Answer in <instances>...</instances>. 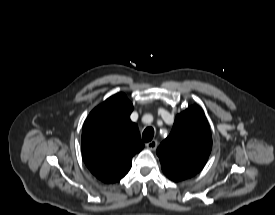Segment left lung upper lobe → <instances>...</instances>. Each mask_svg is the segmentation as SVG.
I'll return each mask as SVG.
<instances>
[{
	"instance_id": "1",
	"label": "left lung upper lobe",
	"mask_w": 275,
	"mask_h": 215,
	"mask_svg": "<svg viewBox=\"0 0 275 215\" xmlns=\"http://www.w3.org/2000/svg\"><path fill=\"white\" fill-rule=\"evenodd\" d=\"M211 148L209 124L203 110L194 105L177 115L172 131L158 147L157 155L165 175L180 181L200 172Z\"/></svg>"
}]
</instances>
